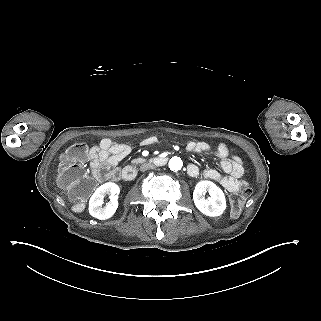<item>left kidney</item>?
<instances>
[{
  "mask_svg": "<svg viewBox=\"0 0 321 321\" xmlns=\"http://www.w3.org/2000/svg\"><path fill=\"white\" fill-rule=\"evenodd\" d=\"M207 191L210 197L205 199L204 194ZM193 200L198 210L207 216H220L226 209L223 191L211 181L203 180L197 183L193 192Z\"/></svg>",
  "mask_w": 321,
  "mask_h": 321,
  "instance_id": "1",
  "label": "left kidney"
}]
</instances>
